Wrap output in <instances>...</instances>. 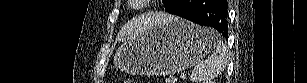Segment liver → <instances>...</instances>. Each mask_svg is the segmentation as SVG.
I'll use <instances>...</instances> for the list:
<instances>
[{
	"instance_id": "obj_1",
	"label": "liver",
	"mask_w": 307,
	"mask_h": 83,
	"mask_svg": "<svg viewBox=\"0 0 307 83\" xmlns=\"http://www.w3.org/2000/svg\"><path fill=\"white\" fill-rule=\"evenodd\" d=\"M174 18V16L167 15V14H156L154 16H148L146 18L138 19L135 20L134 22H130L126 24L122 30L119 33L118 40H126L127 39H132L135 36H138V34L141 32L143 29V25L145 24H156L160 22H164L166 20H170Z\"/></svg>"
}]
</instances>
